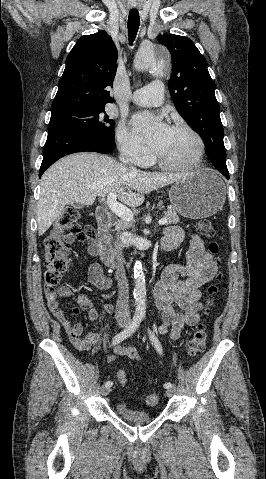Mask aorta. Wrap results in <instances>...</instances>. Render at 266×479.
Returning <instances> with one entry per match:
<instances>
[{"instance_id":"obj_1","label":"aorta","mask_w":266,"mask_h":479,"mask_svg":"<svg viewBox=\"0 0 266 479\" xmlns=\"http://www.w3.org/2000/svg\"><path fill=\"white\" fill-rule=\"evenodd\" d=\"M168 63L167 57L163 50L156 46L147 49H141L134 60V67L138 71L151 70L157 75L163 74V69ZM134 299L136 313H146V280L143 272L142 264L139 260L134 265Z\"/></svg>"}]
</instances>
